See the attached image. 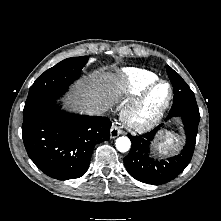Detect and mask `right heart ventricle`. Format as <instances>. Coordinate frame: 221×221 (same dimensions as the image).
Returning a JSON list of instances; mask_svg holds the SVG:
<instances>
[{"mask_svg":"<svg viewBox=\"0 0 221 221\" xmlns=\"http://www.w3.org/2000/svg\"><path fill=\"white\" fill-rule=\"evenodd\" d=\"M157 75L149 70L139 68L123 69L118 82L121 93L139 95L157 80Z\"/></svg>","mask_w":221,"mask_h":221,"instance_id":"obj_1","label":"right heart ventricle"}]
</instances>
